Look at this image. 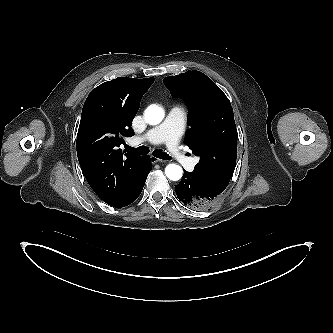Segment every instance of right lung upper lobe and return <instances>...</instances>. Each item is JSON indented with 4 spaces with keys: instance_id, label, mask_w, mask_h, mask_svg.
<instances>
[{
    "instance_id": "right-lung-upper-lobe-1",
    "label": "right lung upper lobe",
    "mask_w": 333,
    "mask_h": 333,
    "mask_svg": "<svg viewBox=\"0 0 333 333\" xmlns=\"http://www.w3.org/2000/svg\"><path fill=\"white\" fill-rule=\"evenodd\" d=\"M154 78L118 77L88 95L77 134V155L85 178L94 192L114 206L129 190L132 176L144 156L123 154V137L134 135V119Z\"/></svg>"
}]
</instances>
